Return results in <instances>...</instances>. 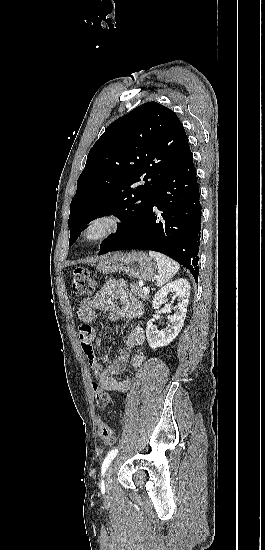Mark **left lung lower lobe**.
<instances>
[{
	"mask_svg": "<svg viewBox=\"0 0 265 550\" xmlns=\"http://www.w3.org/2000/svg\"><path fill=\"white\" fill-rule=\"evenodd\" d=\"M199 198L193 155L188 147L167 173L139 222L115 243L101 245L98 254L129 249L157 251L183 265L197 280L201 230Z\"/></svg>",
	"mask_w": 265,
	"mask_h": 550,
	"instance_id": "left-lung-lower-lobe-1",
	"label": "left lung lower lobe"
}]
</instances>
